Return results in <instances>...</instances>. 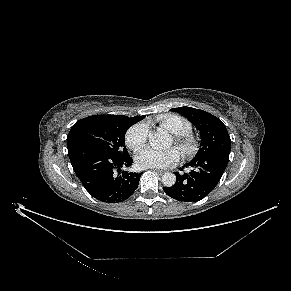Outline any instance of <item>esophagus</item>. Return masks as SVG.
<instances>
[{
  "label": "esophagus",
  "instance_id": "obj_1",
  "mask_svg": "<svg viewBox=\"0 0 291 291\" xmlns=\"http://www.w3.org/2000/svg\"><path fill=\"white\" fill-rule=\"evenodd\" d=\"M154 172H157L158 174L162 175L164 173V171L162 170H157V169H153Z\"/></svg>",
  "mask_w": 291,
  "mask_h": 291
}]
</instances>
